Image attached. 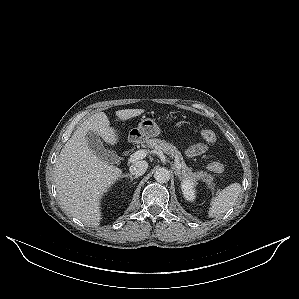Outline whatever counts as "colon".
I'll return each mask as SVG.
<instances>
[{
	"label": "colon",
	"mask_w": 299,
	"mask_h": 299,
	"mask_svg": "<svg viewBox=\"0 0 299 299\" xmlns=\"http://www.w3.org/2000/svg\"><path fill=\"white\" fill-rule=\"evenodd\" d=\"M200 136L204 140L211 142V143H214L217 141V136L212 130L203 129L200 131ZM209 169L213 172L219 173V172L224 171V165L219 162H214L209 165Z\"/></svg>",
	"instance_id": "1"
}]
</instances>
